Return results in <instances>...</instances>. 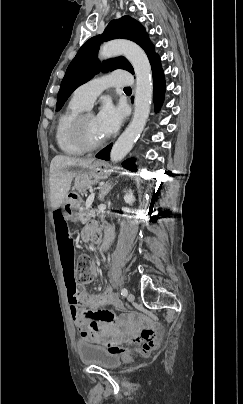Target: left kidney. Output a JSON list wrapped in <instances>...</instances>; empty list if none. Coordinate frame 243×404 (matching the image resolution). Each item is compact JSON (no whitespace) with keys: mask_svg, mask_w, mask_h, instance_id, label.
<instances>
[{"mask_svg":"<svg viewBox=\"0 0 243 404\" xmlns=\"http://www.w3.org/2000/svg\"><path fill=\"white\" fill-rule=\"evenodd\" d=\"M124 202H126V204H133V202H135V198L132 194V190H129V194H125ZM122 210H123V212H130V208H122Z\"/></svg>","mask_w":243,"mask_h":404,"instance_id":"5707ae66","label":"left kidney"}]
</instances>
